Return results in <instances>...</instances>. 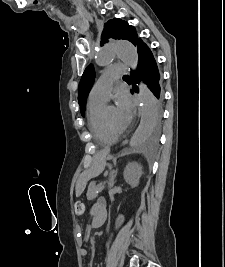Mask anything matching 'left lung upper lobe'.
I'll return each instance as SVG.
<instances>
[{
  "instance_id": "obj_1",
  "label": "left lung upper lobe",
  "mask_w": 225,
  "mask_h": 267,
  "mask_svg": "<svg viewBox=\"0 0 225 267\" xmlns=\"http://www.w3.org/2000/svg\"><path fill=\"white\" fill-rule=\"evenodd\" d=\"M107 38L113 39H124L130 41L133 45L137 47L138 38L137 32L133 26L128 25L127 22L114 18L109 20L104 24V29L101 37V45L107 42ZM94 82V68L93 65L90 64L84 71L82 78L80 80L78 86V102L80 105V111L82 116L85 113V105L88 93L91 89V86ZM162 108L156 104V112H155V129L159 127L161 121Z\"/></svg>"
}]
</instances>
